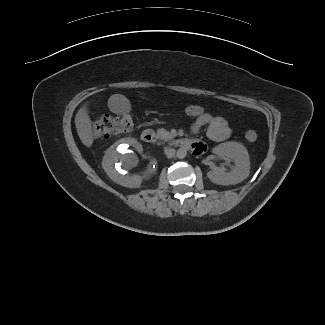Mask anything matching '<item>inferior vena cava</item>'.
I'll use <instances>...</instances> for the list:
<instances>
[{"mask_svg": "<svg viewBox=\"0 0 325 325\" xmlns=\"http://www.w3.org/2000/svg\"><path fill=\"white\" fill-rule=\"evenodd\" d=\"M164 152L168 158H172L175 155V150L169 147H165Z\"/></svg>", "mask_w": 325, "mask_h": 325, "instance_id": "inferior-vena-cava-1", "label": "inferior vena cava"}]
</instances>
